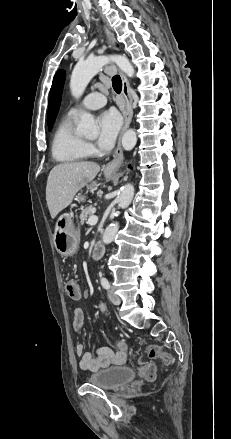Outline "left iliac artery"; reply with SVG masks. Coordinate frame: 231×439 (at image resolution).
I'll return each instance as SVG.
<instances>
[{"mask_svg":"<svg viewBox=\"0 0 231 439\" xmlns=\"http://www.w3.org/2000/svg\"><path fill=\"white\" fill-rule=\"evenodd\" d=\"M101 284H102V286L105 288V289H109L110 288V283H109V281L106 279V278H102L101 279Z\"/></svg>","mask_w":231,"mask_h":439,"instance_id":"obj_1","label":"left iliac artery"}]
</instances>
